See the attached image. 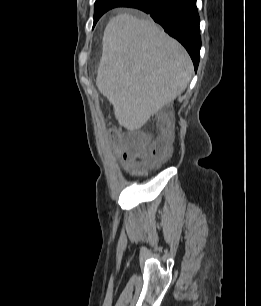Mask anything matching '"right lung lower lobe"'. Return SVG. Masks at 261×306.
<instances>
[{"label": "right lung lower lobe", "mask_w": 261, "mask_h": 306, "mask_svg": "<svg viewBox=\"0 0 261 306\" xmlns=\"http://www.w3.org/2000/svg\"><path fill=\"white\" fill-rule=\"evenodd\" d=\"M122 6L137 8L150 14L165 32L186 48L197 69L201 37L196 0H129Z\"/></svg>", "instance_id": "right-lung-lower-lobe-1"}]
</instances>
